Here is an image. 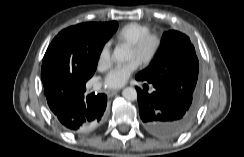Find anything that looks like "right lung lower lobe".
<instances>
[{"label": "right lung lower lobe", "instance_id": "1", "mask_svg": "<svg viewBox=\"0 0 244 157\" xmlns=\"http://www.w3.org/2000/svg\"><path fill=\"white\" fill-rule=\"evenodd\" d=\"M85 91V84H71L45 94L57 122L73 133L93 131L106 115V95H86Z\"/></svg>", "mask_w": 244, "mask_h": 157}]
</instances>
